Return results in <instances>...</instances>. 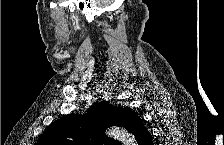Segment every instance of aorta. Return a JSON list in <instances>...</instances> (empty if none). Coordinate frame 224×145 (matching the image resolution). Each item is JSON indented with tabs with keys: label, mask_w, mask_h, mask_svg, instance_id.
I'll return each mask as SVG.
<instances>
[{
	"label": "aorta",
	"mask_w": 224,
	"mask_h": 145,
	"mask_svg": "<svg viewBox=\"0 0 224 145\" xmlns=\"http://www.w3.org/2000/svg\"><path fill=\"white\" fill-rule=\"evenodd\" d=\"M107 134L124 145H136L135 138L124 128L112 127Z\"/></svg>",
	"instance_id": "obj_1"
}]
</instances>
